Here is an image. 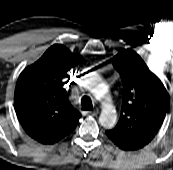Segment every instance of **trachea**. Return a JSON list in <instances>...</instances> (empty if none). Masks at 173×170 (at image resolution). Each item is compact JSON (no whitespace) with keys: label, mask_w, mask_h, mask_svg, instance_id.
Listing matches in <instances>:
<instances>
[{"label":"trachea","mask_w":173,"mask_h":170,"mask_svg":"<svg viewBox=\"0 0 173 170\" xmlns=\"http://www.w3.org/2000/svg\"><path fill=\"white\" fill-rule=\"evenodd\" d=\"M81 106L83 110L90 111L92 110V102L88 96H83L81 99Z\"/></svg>","instance_id":"obj_1"}]
</instances>
